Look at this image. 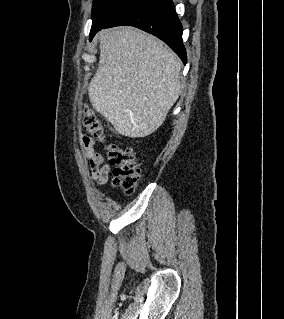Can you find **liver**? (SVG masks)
Listing matches in <instances>:
<instances>
[{
    "label": "liver",
    "mask_w": 284,
    "mask_h": 319,
    "mask_svg": "<svg viewBox=\"0 0 284 319\" xmlns=\"http://www.w3.org/2000/svg\"><path fill=\"white\" fill-rule=\"evenodd\" d=\"M98 38V69L88 88L93 108L121 135H150L179 97L177 55L156 37L131 27L101 30Z\"/></svg>",
    "instance_id": "obj_1"
}]
</instances>
